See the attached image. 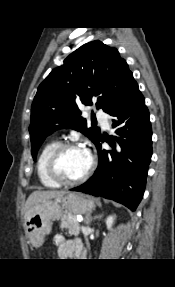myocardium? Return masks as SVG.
<instances>
[{
  "mask_svg": "<svg viewBox=\"0 0 175 287\" xmlns=\"http://www.w3.org/2000/svg\"><path fill=\"white\" fill-rule=\"evenodd\" d=\"M74 148H80L83 149L82 146L75 142H64L60 143L51 153L48 162H47V173L51 179H53L55 182L59 183L60 185H67V186H72V185H77L80 184L84 181H86L89 176L93 173L95 169V158L94 156L89 152L90 155V165L88 169L85 171L83 175H81L77 179H66L64 178L58 168V162L61 157V155L68 149H74Z\"/></svg>",
  "mask_w": 175,
  "mask_h": 287,
  "instance_id": "myocardium-1",
  "label": "myocardium"
}]
</instances>
